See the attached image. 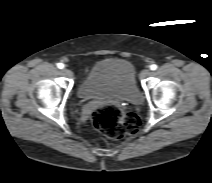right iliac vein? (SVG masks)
<instances>
[{
	"mask_svg": "<svg viewBox=\"0 0 212 183\" xmlns=\"http://www.w3.org/2000/svg\"><path fill=\"white\" fill-rule=\"evenodd\" d=\"M63 72H64V74L67 75L68 77H73V72H72L70 69L65 68V69L63 70Z\"/></svg>",
	"mask_w": 212,
	"mask_h": 183,
	"instance_id": "1",
	"label": "right iliac vein"
}]
</instances>
